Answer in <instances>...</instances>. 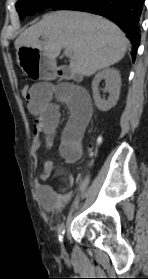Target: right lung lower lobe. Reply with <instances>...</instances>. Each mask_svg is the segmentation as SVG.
Instances as JSON below:
<instances>
[{
	"label": "right lung lower lobe",
	"instance_id": "right-lung-lower-lobe-1",
	"mask_svg": "<svg viewBox=\"0 0 148 279\" xmlns=\"http://www.w3.org/2000/svg\"><path fill=\"white\" fill-rule=\"evenodd\" d=\"M144 0H68L54 7L95 13L110 18L127 35L132 43V59L135 60L140 43V18Z\"/></svg>",
	"mask_w": 148,
	"mask_h": 279
}]
</instances>
